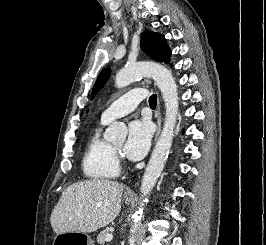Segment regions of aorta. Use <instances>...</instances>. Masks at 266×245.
I'll use <instances>...</instances> for the list:
<instances>
[{"instance_id":"obj_1","label":"aorta","mask_w":266,"mask_h":245,"mask_svg":"<svg viewBox=\"0 0 266 245\" xmlns=\"http://www.w3.org/2000/svg\"><path fill=\"white\" fill-rule=\"evenodd\" d=\"M143 74L153 76L155 84L160 88L165 104L166 116L163 131L154 147L151 159L143 175L140 189L141 209H138L133 215V223L130 227L129 245H136V237L144 211L143 207L146 205L148 197L164 169L166 159H168L179 110L178 88L175 78L171 70H168L163 64H157V62H151L149 66L128 64V66L121 68V70L117 72L115 84L117 88H124V86H128V84L134 82L137 76H143ZM126 135L127 127H125L123 123H112L107 131H105L104 139H106V141H112V143H124Z\"/></svg>"}]
</instances>
